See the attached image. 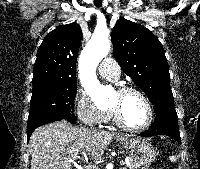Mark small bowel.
Segmentation results:
<instances>
[{"label":"small bowel","instance_id":"c3829d8e","mask_svg":"<svg viewBox=\"0 0 200 169\" xmlns=\"http://www.w3.org/2000/svg\"><path fill=\"white\" fill-rule=\"evenodd\" d=\"M142 169H149V168H145V167H144V168H142Z\"/></svg>","mask_w":200,"mask_h":169}]
</instances>
